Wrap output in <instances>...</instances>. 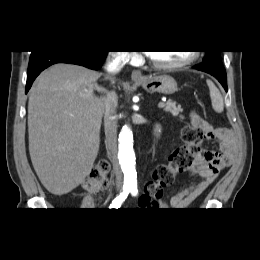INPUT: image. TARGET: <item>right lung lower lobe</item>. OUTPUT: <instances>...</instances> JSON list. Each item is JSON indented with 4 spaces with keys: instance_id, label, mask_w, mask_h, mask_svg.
<instances>
[{
    "instance_id": "1",
    "label": "right lung lower lobe",
    "mask_w": 260,
    "mask_h": 260,
    "mask_svg": "<svg viewBox=\"0 0 260 260\" xmlns=\"http://www.w3.org/2000/svg\"><path fill=\"white\" fill-rule=\"evenodd\" d=\"M107 53L108 51L88 50L32 51L28 65L26 93L40 72L52 64L72 63L90 69H99Z\"/></svg>"
}]
</instances>
